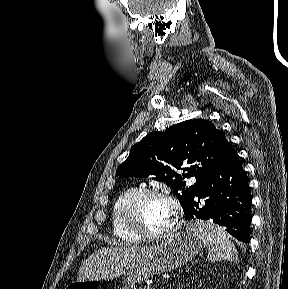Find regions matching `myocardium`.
<instances>
[{
	"instance_id": "1",
	"label": "myocardium",
	"mask_w": 288,
	"mask_h": 289,
	"mask_svg": "<svg viewBox=\"0 0 288 289\" xmlns=\"http://www.w3.org/2000/svg\"><path fill=\"white\" fill-rule=\"evenodd\" d=\"M146 197H158L167 201L173 210V221L171 225L159 232L150 233L142 230L135 220V210ZM181 209L178 201L168 192L155 188H142L125 203L122 209V221L125 228L140 240H159L174 234L179 228Z\"/></svg>"
}]
</instances>
